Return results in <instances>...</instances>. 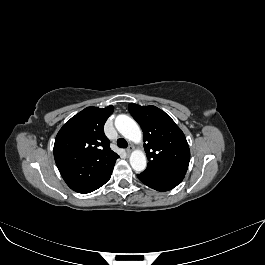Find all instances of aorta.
<instances>
[{"instance_id": "1", "label": "aorta", "mask_w": 265, "mask_h": 265, "mask_svg": "<svg viewBox=\"0 0 265 265\" xmlns=\"http://www.w3.org/2000/svg\"><path fill=\"white\" fill-rule=\"evenodd\" d=\"M115 127L126 139L134 143H140L142 141L140 127L129 116L118 115L115 119ZM130 165L137 172L145 170L147 166L145 153L142 150H134L130 155Z\"/></svg>"}]
</instances>
